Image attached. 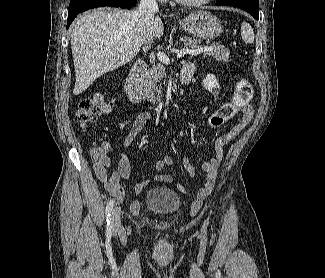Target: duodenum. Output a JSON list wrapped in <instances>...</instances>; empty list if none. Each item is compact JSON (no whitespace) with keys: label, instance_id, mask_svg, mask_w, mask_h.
<instances>
[{"label":"duodenum","instance_id":"duodenum-1","mask_svg":"<svg viewBox=\"0 0 325 278\" xmlns=\"http://www.w3.org/2000/svg\"><path fill=\"white\" fill-rule=\"evenodd\" d=\"M147 65L143 61L137 62L129 72L125 83V90L129 100L141 106L145 103V98L142 94V79L146 73ZM194 74V66L192 64L185 65L180 73V80L184 84L190 83Z\"/></svg>","mask_w":325,"mask_h":278}]
</instances>
